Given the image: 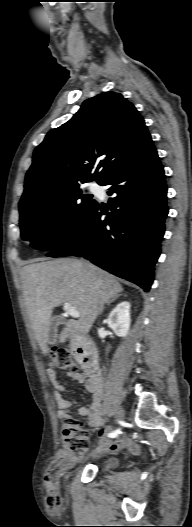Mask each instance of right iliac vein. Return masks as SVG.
<instances>
[{
	"label": "right iliac vein",
	"instance_id": "63e3f726",
	"mask_svg": "<svg viewBox=\"0 0 192 527\" xmlns=\"http://www.w3.org/2000/svg\"><path fill=\"white\" fill-rule=\"evenodd\" d=\"M123 418H124V411H123L122 409H119V410L117 411V420H118V422H120L121 420H123Z\"/></svg>",
	"mask_w": 192,
	"mask_h": 527
}]
</instances>
